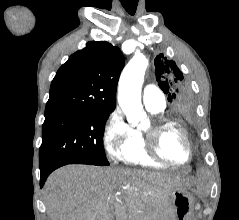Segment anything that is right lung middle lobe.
Returning a JSON list of instances; mask_svg holds the SVG:
<instances>
[{
    "label": "right lung middle lobe",
    "mask_w": 239,
    "mask_h": 220,
    "mask_svg": "<svg viewBox=\"0 0 239 220\" xmlns=\"http://www.w3.org/2000/svg\"><path fill=\"white\" fill-rule=\"evenodd\" d=\"M111 112H63L45 115L40 170L58 164L109 165L104 153V126Z\"/></svg>",
    "instance_id": "obj_1"
}]
</instances>
